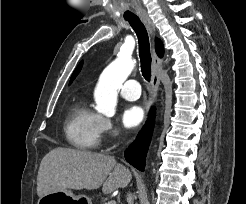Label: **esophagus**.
<instances>
[{"label": "esophagus", "mask_w": 246, "mask_h": 204, "mask_svg": "<svg viewBox=\"0 0 246 204\" xmlns=\"http://www.w3.org/2000/svg\"><path fill=\"white\" fill-rule=\"evenodd\" d=\"M141 20L143 21V23L145 24V26L147 27L152 40H154V37L156 36V30L155 27L150 19V17L147 14L141 15ZM161 65H162V60L161 58H159L155 52L154 49V44L152 47V77H151V93H152V99H151V104L154 103L156 96H157V92L159 89V85H160V79H159V71L161 69Z\"/></svg>", "instance_id": "esophagus-1"}]
</instances>
